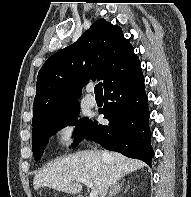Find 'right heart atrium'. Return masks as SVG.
I'll use <instances>...</instances> for the list:
<instances>
[{
  "label": "right heart atrium",
  "instance_id": "d8ad5b80",
  "mask_svg": "<svg viewBox=\"0 0 191 197\" xmlns=\"http://www.w3.org/2000/svg\"><path fill=\"white\" fill-rule=\"evenodd\" d=\"M79 137V125L77 121H65L58 125L55 131V141L59 148L67 149L73 146Z\"/></svg>",
  "mask_w": 191,
  "mask_h": 197
}]
</instances>
